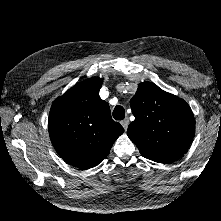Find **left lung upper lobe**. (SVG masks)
<instances>
[{
  "mask_svg": "<svg viewBox=\"0 0 221 221\" xmlns=\"http://www.w3.org/2000/svg\"><path fill=\"white\" fill-rule=\"evenodd\" d=\"M135 120L127 134L141 155L159 163L181 158L195 134V119L189 105L151 82L138 85L130 101Z\"/></svg>",
  "mask_w": 221,
  "mask_h": 221,
  "instance_id": "left-lung-upper-lobe-1",
  "label": "left lung upper lobe"
}]
</instances>
